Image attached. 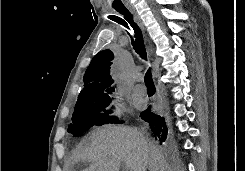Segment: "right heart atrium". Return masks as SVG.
Instances as JSON below:
<instances>
[{
  "mask_svg": "<svg viewBox=\"0 0 245 171\" xmlns=\"http://www.w3.org/2000/svg\"><path fill=\"white\" fill-rule=\"evenodd\" d=\"M107 110L111 116L121 115V108L116 101H111L107 107Z\"/></svg>",
  "mask_w": 245,
  "mask_h": 171,
  "instance_id": "d8ad5b80",
  "label": "right heart atrium"
}]
</instances>
